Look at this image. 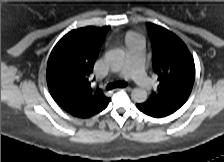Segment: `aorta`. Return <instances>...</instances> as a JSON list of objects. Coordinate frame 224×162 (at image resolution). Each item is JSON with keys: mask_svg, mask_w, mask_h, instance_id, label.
I'll return each mask as SVG.
<instances>
[{"mask_svg": "<svg viewBox=\"0 0 224 162\" xmlns=\"http://www.w3.org/2000/svg\"><path fill=\"white\" fill-rule=\"evenodd\" d=\"M106 61L115 72L119 71L124 61V53L120 50H114L106 55ZM131 98L136 103H143L147 100V92L142 88H134L131 92Z\"/></svg>", "mask_w": 224, "mask_h": 162, "instance_id": "1", "label": "aorta"}]
</instances>
